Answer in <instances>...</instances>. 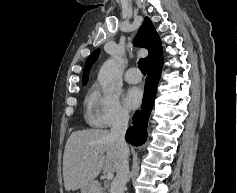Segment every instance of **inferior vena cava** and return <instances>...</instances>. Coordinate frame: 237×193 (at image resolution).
I'll return each mask as SVG.
<instances>
[{"label": "inferior vena cava", "mask_w": 237, "mask_h": 193, "mask_svg": "<svg viewBox=\"0 0 237 193\" xmlns=\"http://www.w3.org/2000/svg\"><path fill=\"white\" fill-rule=\"evenodd\" d=\"M129 114L119 112L111 128V136L116 139L121 152L122 163L119 167L114 180L111 183V193H124L129 173V148L125 141V134L128 128Z\"/></svg>", "instance_id": "inferior-vena-cava-1"}]
</instances>
